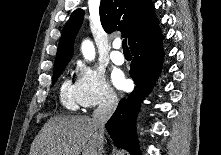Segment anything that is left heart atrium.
<instances>
[{"label":"left heart atrium","instance_id":"1","mask_svg":"<svg viewBox=\"0 0 221 155\" xmlns=\"http://www.w3.org/2000/svg\"><path fill=\"white\" fill-rule=\"evenodd\" d=\"M112 80H113L114 85L118 89H125L127 85V80L125 79L124 75L121 72H115L112 75Z\"/></svg>","mask_w":221,"mask_h":155}]
</instances>
